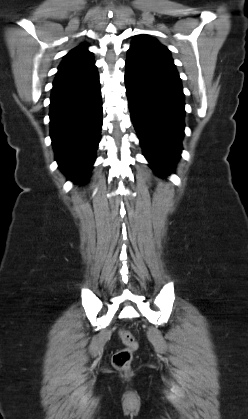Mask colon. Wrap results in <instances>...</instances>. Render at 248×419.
Masks as SVG:
<instances>
[{
	"label": "colon",
	"instance_id": "5ec220e1",
	"mask_svg": "<svg viewBox=\"0 0 248 419\" xmlns=\"http://www.w3.org/2000/svg\"><path fill=\"white\" fill-rule=\"evenodd\" d=\"M119 335L124 347L113 354L112 363L116 369L124 371L130 367L134 352L138 349V342L127 330H121Z\"/></svg>",
	"mask_w": 248,
	"mask_h": 419
}]
</instances>
